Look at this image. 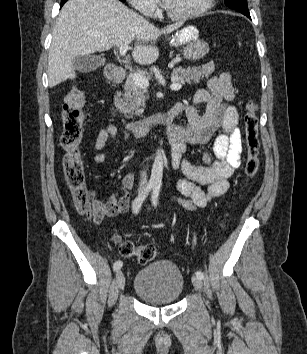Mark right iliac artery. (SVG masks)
Segmentation results:
<instances>
[{
    "label": "right iliac artery",
    "instance_id": "obj_1",
    "mask_svg": "<svg viewBox=\"0 0 307 354\" xmlns=\"http://www.w3.org/2000/svg\"><path fill=\"white\" fill-rule=\"evenodd\" d=\"M154 188L153 184H148L146 186V188L144 189V192L142 194H140L138 197H136L132 203V212L134 214H138L141 205L143 203V201L145 200L146 195ZM123 266V262L121 260H118L114 263L113 265V269L114 271H118L119 269H121V267Z\"/></svg>",
    "mask_w": 307,
    "mask_h": 354
}]
</instances>
